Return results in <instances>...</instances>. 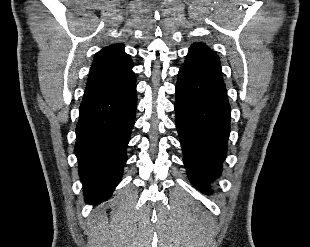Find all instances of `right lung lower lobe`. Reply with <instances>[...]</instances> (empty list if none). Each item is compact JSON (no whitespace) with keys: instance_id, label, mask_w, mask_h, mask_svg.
Instances as JSON below:
<instances>
[{"instance_id":"1","label":"right lung lower lobe","mask_w":310,"mask_h":247,"mask_svg":"<svg viewBox=\"0 0 310 247\" xmlns=\"http://www.w3.org/2000/svg\"><path fill=\"white\" fill-rule=\"evenodd\" d=\"M136 106L135 81L85 91L74 152L87 203L106 200L121 180Z\"/></svg>"}]
</instances>
